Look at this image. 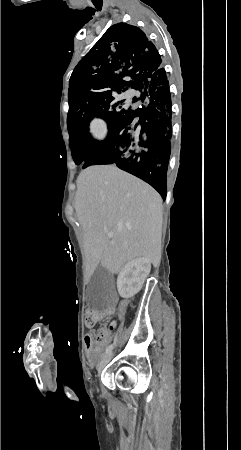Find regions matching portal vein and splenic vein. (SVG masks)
I'll list each match as a JSON object with an SVG mask.
<instances>
[{"mask_svg":"<svg viewBox=\"0 0 241 450\" xmlns=\"http://www.w3.org/2000/svg\"><path fill=\"white\" fill-rule=\"evenodd\" d=\"M108 238H113V232H109V234H107Z\"/></svg>","mask_w":241,"mask_h":450,"instance_id":"1","label":"portal vein and splenic vein"}]
</instances>
